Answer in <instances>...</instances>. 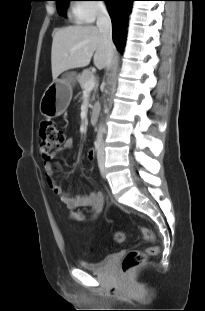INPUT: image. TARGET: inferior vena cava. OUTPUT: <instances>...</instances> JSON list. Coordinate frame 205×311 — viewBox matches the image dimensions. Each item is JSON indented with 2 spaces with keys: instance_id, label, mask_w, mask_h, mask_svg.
<instances>
[{
  "instance_id": "obj_1",
  "label": "inferior vena cava",
  "mask_w": 205,
  "mask_h": 311,
  "mask_svg": "<svg viewBox=\"0 0 205 311\" xmlns=\"http://www.w3.org/2000/svg\"><path fill=\"white\" fill-rule=\"evenodd\" d=\"M96 24L103 35V40L107 53L106 67L109 69L113 65L115 46L112 40L111 19L106 8L103 7L99 10ZM104 132L105 128L101 126L99 129L100 138H102V134Z\"/></svg>"
}]
</instances>
